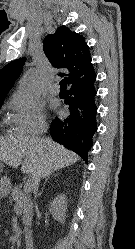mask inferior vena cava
<instances>
[{
	"label": "inferior vena cava",
	"mask_w": 135,
	"mask_h": 249,
	"mask_svg": "<svg viewBox=\"0 0 135 249\" xmlns=\"http://www.w3.org/2000/svg\"><path fill=\"white\" fill-rule=\"evenodd\" d=\"M46 127L43 128L42 132H46ZM38 184H39V178H33V184H32V187H33V190H34V193H36V190L38 188Z\"/></svg>",
	"instance_id": "602c4592"
}]
</instances>
